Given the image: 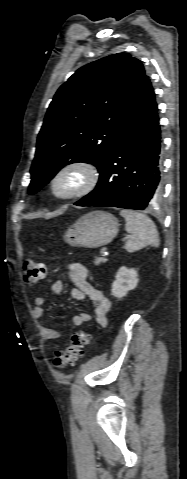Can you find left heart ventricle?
<instances>
[{"label":"left heart ventricle","mask_w":187,"mask_h":479,"mask_svg":"<svg viewBox=\"0 0 187 479\" xmlns=\"http://www.w3.org/2000/svg\"><path fill=\"white\" fill-rule=\"evenodd\" d=\"M73 182H74V179L72 177H69L61 183L59 189L61 191L67 190V189L70 188V186L73 184Z\"/></svg>","instance_id":"obj_1"}]
</instances>
